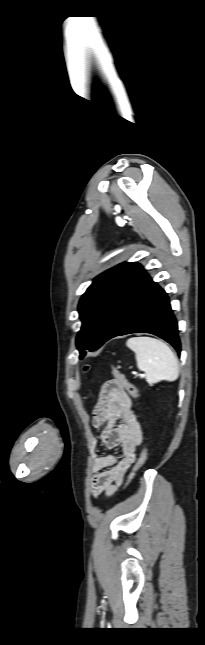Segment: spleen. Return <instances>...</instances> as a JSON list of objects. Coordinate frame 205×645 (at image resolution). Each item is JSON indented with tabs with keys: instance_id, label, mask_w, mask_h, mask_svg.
I'll list each match as a JSON object with an SVG mask.
<instances>
[{
	"instance_id": "spleen-1",
	"label": "spleen",
	"mask_w": 205,
	"mask_h": 645,
	"mask_svg": "<svg viewBox=\"0 0 205 645\" xmlns=\"http://www.w3.org/2000/svg\"><path fill=\"white\" fill-rule=\"evenodd\" d=\"M127 347L135 352L137 367L146 375L150 386L160 381L173 382L179 376L177 357L161 340L151 337H133Z\"/></svg>"
}]
</instances>
